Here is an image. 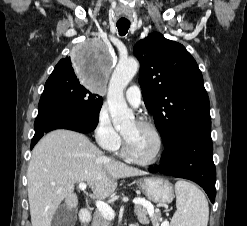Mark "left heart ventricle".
Wrapping results in <instances>:
<instances>
[{"mask_svg":"<svg viewBox=\"0 0 247 226\" xmlns=\"http://www.w3.org/2000/svg\"><path fill=\"white\" fill-rule=\"evenodd\" d=\"M122 134L126 138L130 151L135 157L149 159L154 156L157 150V140L148 128L132 122L122 131Z\"/></svg>","mask_w":247,"mask_h":226,"instance_id":"b2bd125f","label":"left heart ventricle"}]
</instances>
